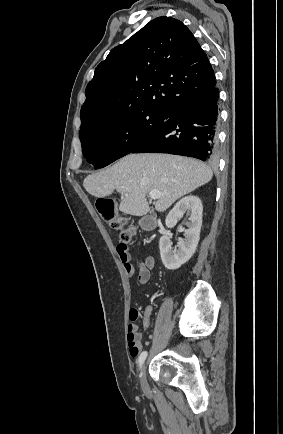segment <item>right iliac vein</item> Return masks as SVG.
Here are the masks:
<instances>
[{"instance_id": "right-iliac-vein-1", "label": "right iliac vein", "mask_w": 283, "mask_h": 434, "mask_svg": "<svg viewBox=\"0 0 283 434\" xmlns=\"http://www.w3.org/2000/svg\"><path fill=\"white\" fill-rule=\"evenodd\" d=\"M141 386L142 389L144 391H148L149 386H148V382H147V377H146V366H143L142 372H141Z\"/></svg>"}]
</instances>
